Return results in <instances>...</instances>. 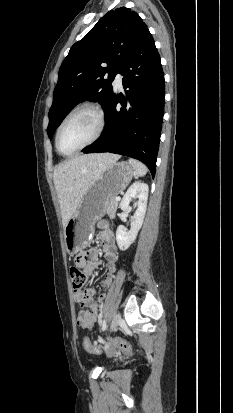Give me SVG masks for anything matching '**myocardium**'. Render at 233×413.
Listing matches in <instances>:
<instances>
[{"mask_svg": "<svg viewBox=\"0 0 233 413\" xmlns=\"http://www.w3.org/2000/svg\"><path fill=\"white\" fill-rule=\"evenodd\" d=\"M82 111H90L92 113L95 114V116L97 117L98 120V127L96 130L95 135L93 136V138L91 140H89L87 143H85L84 145H82L81 147H79L78 149H76L75 151L71 152V153H64L61 151L60 146H59V138H60V134L61 131L63 129V127L65 126V124L72 118L74 117L76 114L82 112ZM105 124H106V120H105V115L103 110L96 104H92V103H84L82 105H79L78 107H76L73 111H71L61 122V124L59 125L57 132H56V136H55V146L57 151L59 152V154H61L62 156L65 157H69V156H73L75 154H77L78 152L82 151L83 149L89 147L90 145H92L93 143H95L103 134L104 129H105Z\"/></svg>", "mask_w": 233, "mask_h": 413, "instance_id": "f54148a6", "label": "myocardium"}]
</instances>
